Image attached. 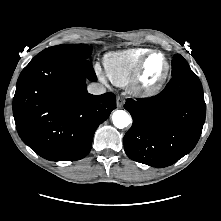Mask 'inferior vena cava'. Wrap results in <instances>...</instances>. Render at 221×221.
Listing matches in <instances>:
<instances>
[{
	"label": "inferior vena cava",
	"instance_id": "602c4592",
	"mask_svg": "<svg viewBox=\"0 0 221 221\" xmlns=\"http://www.w3.org/2000/svg\"><path fill=\"white\" fill-rule=\"evenodd\" d=\"M87 90L90 94H93V95H101L106 92L105 86L100 83L89 84L87 87Z\"/></svg>",
	"mask_w": 221,
	"mask_h": 221
}]
</instances>
